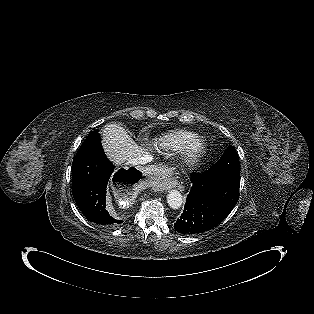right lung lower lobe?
I'll use <instances>...</instances> for the list:
<instances>
[{
    "mask_svg": "<svg viewBox=\"0 0 314 314\" xmlns=\"http://www.w3.org/2000/svg\"><path fill=\"white\" fill-rule=\"evenodd\" d=\"M142 177L135 168L119 169L105 156L101 143L90 151L78 155L72 163V194L84 216L102 227H117L123 221L113 218L106 210V188L108 182L132 186Z\"/></svg>",
    "mask_w": 314,
    "mask_h": 314,
    "instance_id": "1",
    "label": "right lung lower lobe"
}]
</instances>
